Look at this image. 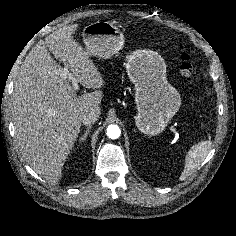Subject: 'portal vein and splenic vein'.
I'll return each mask as SVG.
<instances>
[{"label": "portal vein and splenic vein", "mask_w": 236, "mask_h": 236, "mask_svg": "<svg viewBox=\"0 0 236 236\" xmlns=\"http://www.w3.org/2000/svg\"><path fill=\"white\" fill-rule=\"evenodd\" d=\"M64 76L67 77L72 82L74 90L77 91L79 89V86H78V82L75 79V77L66 69H64ZM172 132L174 134H178V132L175 128L172 129Z\"/></svg>", "instance_id": "1"}]
</instances>
